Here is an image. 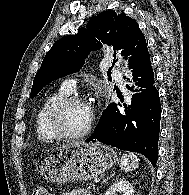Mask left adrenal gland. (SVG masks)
I'll return each instance as SVG.
<instances>
[{"label":"left adrenal gland","instance_id":"obj_1","mask_svg":"<svg viewBox=\"0 0 189 195\" xmlns=\"http://www.w3.org/2000/svg\"><path fill=\"white\" fill-rule=\"evenodd\" d=\"M113 176V174L109 177H107L103 182H105L106 180L110 179Z\"/></svg>","mask_w":189,"mask_h":195}]
</instances>
